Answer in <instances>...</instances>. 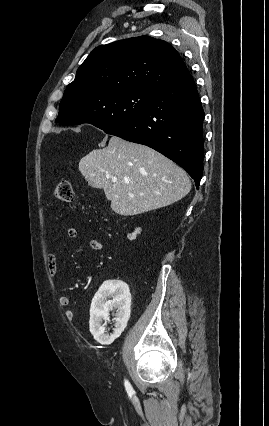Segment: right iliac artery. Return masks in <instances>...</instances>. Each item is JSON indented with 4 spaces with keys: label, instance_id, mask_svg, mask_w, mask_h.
<instances>
[{
    "label": "right iliac artery",
    "instance_id": "right-iliac-artery-1",
    "mask_svg": "<svg viewBox=\"0 0 269 426\" xmlns=\"http://www.w3.org/2000/svg\"><path fill=\"white\" fill-rule=\"evenodd\" d=\"M124 384H125L126 391L128 393H132L133 392V388H132L131 384L129 383V381L125 380Z\"/></svg>",
    "mask_w": 269,
    "mask_h": 426
}]
</instances>
